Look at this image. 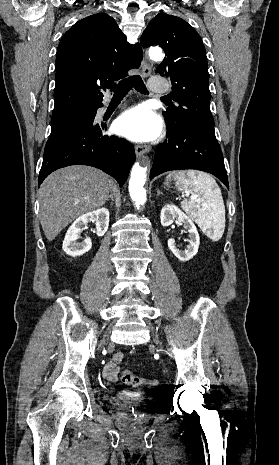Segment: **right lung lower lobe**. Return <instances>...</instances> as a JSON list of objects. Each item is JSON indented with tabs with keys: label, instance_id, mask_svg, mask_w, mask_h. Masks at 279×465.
Returning a JSON list of instances; mask_svg holds the SVG:
<instances>
[{
	"label": "right lung lower lobe",
	"instance_id": "right-lung-lower-lobe-1",
	"mask_svg": "<svg viewBox=\"0 0 279 465\" xmlns=\"http://www.w3.org/2000/svg\"><path fill=\"white\" fill-rule=\"evenodd\" d=\"M102 103L84 114L90 115L82 129L70 134L51 150L44 152L38 184L56 169L69 165L97 167L113 176L122 186L134 163L133 145L123 138L104 134L107 126L95 124L97 109Z\"/></svg>",
	"mask_w": 279,
	"mask_h": 465
}]
</instances>
